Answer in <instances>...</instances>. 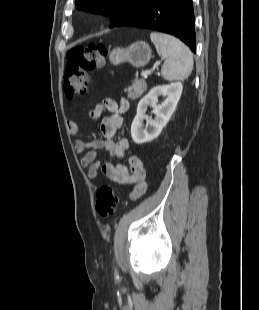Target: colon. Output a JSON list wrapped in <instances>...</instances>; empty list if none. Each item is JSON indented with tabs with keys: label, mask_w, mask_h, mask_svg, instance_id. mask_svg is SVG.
Returning a JSON list of instances; mask_svg holds the SVG:
<instances>
[{
	"label": "colon",
	"mask_w": 259,
	"mask_h": 310,
	"mask_svg": "<svg viewBox=\"0 0 259 310\" xmlns=\"http://www.w3.org/2000/svg\"><path fill=\"white\" fill-rule=\"evenodd\" d=\"M106 47L100 43H91L71 49L67 54L65 71V91L69 96L83 95L87 91L88 72L103 66ZM118 194L110 185H103L97 192L95 209L101 217L114 212Z\"/></svg>",
	"instance_id": "obj_1"
}]
</instances>
